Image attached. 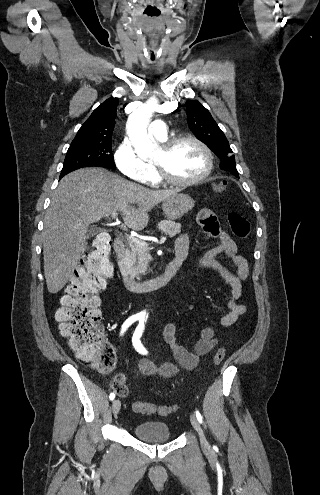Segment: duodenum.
<instances>
[{"instance_id":"duodenum-1","label":"duodenum","mask_w":320,"mask_h":495,"mask_svg":"<svg viewBox=\"0 0 320 495\" xmlns=\"http://www.w3.org/2000/svg\"><path fill=\"white\" fill-rule=\"evenodd\" d=\"M114 250L118 259V264L121 270V276H122V281L124 285L129 289L137 293H144V292H150L154 291L157 289L162 288L163 286L167 285L172 278L176 275L178 272L182 262L187 256V251H178L176 249V255L175 258L167 264L165 271L163 274L154 277L149 280H144V281H138L133 279L129 274L126 272L125 268V255H126V248L125 244L121 239H116L114 242Z\"/></svg>"}]
</instances>
